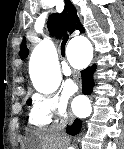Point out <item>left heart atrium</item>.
<instances>
[{"mask_svg": "<svg viewBox=\"0 0 124 149\" xmlns=\"http://www.w3.org/2000/svg\"><path fill=\"white\" fill-rule=\"evenodd\" d=\"M72 91H74L75 90V86H71V88H70Z\"/></svg>", "mask_w": 124, "mask_h": 149, "instance_id": "obj_1", "label": "left heart atrium"}]
</instances>
